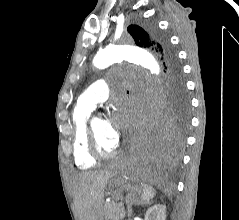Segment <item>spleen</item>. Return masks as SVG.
I'll return each instance as SVG.
<instances>
[{
    "mask_svg": "<svg viewBox=\"0 0 239 220\" xmlns=\"http://www.w3.org/2000/svg\"><path fill=\"white\" fill-rule=\"evenodd\" d=\"M140 186L142 189L141 202L143 203L149 202V200L152 199L156 194L154 188L144 183H141Z\"/></svg>",
    "mask_w": 239,
    "mask_h": 220,
    "instance_id": "1",
    "label": "spleen"
}]
</instances>
